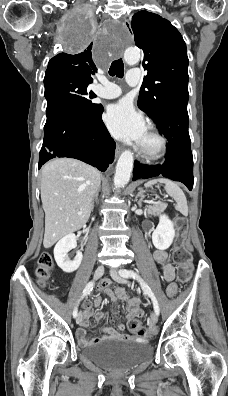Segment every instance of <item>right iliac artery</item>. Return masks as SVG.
<instances>
[{
    "label": "right iliac artery",
    "mask_w": 228,
    "mask_h": 396,
    "mask_svg": "<svg viewBox=\"0 0 228 396\" xmlns=\"http://www.w3.org/2000/svg\"><path fill=\"white\" fill-rule=\"evenodd\" d=\"M93 287H94V282H93V281H90V282L86 285L85 289L83 290V294H82V296H81V299L84 298L85 296H87L88 294H90V292L92 291ZM81 299H80V300H81ZM80 300L78 301L77 305L75 306V308H74V310H73V317H74V318H76L77 315H78V305H79Z\"/></svg>",
    "instance_id": "1"
}]
</instances>
